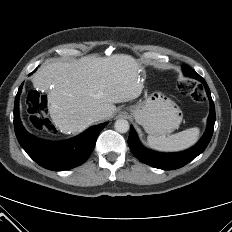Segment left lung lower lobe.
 I'll list each match as a JSON object with an SVG mask.
<instances>
[{"instance_id":"obj_1","label":"left lung lower lobe","mask_w":232,"mask_h":232,"mask_svg":"<svg viewBox=\"0 0 232 232\" xmlns=\"http://www.w3.org/2000/svg\"><path fill=\"white\" fill-rule=\"evenodd\" d=\"M183 72L186 76L196 78L202 82L210 101V114L208 117L207 129L200 141L192 148L183 152L158 153L148 150L142 146L133 127H131L130 129V135L128 138V145L132 153L137 157V159L147 165L163 170H174L183 167L199 154H201L209 144L214 130L215 106L211 98L210 90L207 83L199 74H197L187 65H183ZM200 86L202 88V85Z\"/></svg>"}]
</instances>
